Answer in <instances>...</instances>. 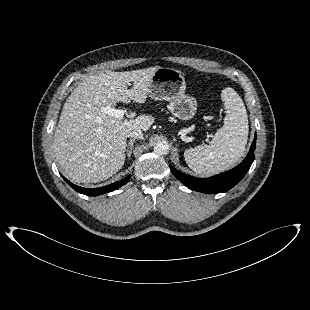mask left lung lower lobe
Here are the masks:
<instances>
[{
	"label": "left lung lower lobe",
	"mask_w": 310,
	"mask_h": 310,
	"mask_svg": "<svg viewBox=\"0 0 310 310\" xmlns=\"http://www.w3.org/2000/svg\"><path fill=\"white\" fill-rule=\"evenodd\" d=\"M255 148H256V134L254 137V141L252 142L249 153L238 166L227 172L206 179H200L188 176L186 174L177 171L172 166H170V169L174 174V176L191 190L208 194L222 193L234 187L248 172L255 158V155L253 153Z\"/></svg>",
	"instance_id": "0a47b994"
}]
</instances>
